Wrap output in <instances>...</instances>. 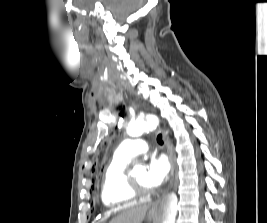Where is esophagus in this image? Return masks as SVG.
<instances>
[{"mask_svg":"<svg viewBox=\"0 0 267 223\" xmlns=\"http://www.w3.org/2000/svg\"><path fill=\"white\" fill-rule=\"evenodd\" d=\"M165 147L167 149V154L171 163V178L173 179L174 177V169H175V160H174V155H173V148L171 145V142L167 136V134L162 130L161 131ZM159 201H157L151 208V212H156L158 208Z\"/></svg>","mask_w":267,"mask_h":223,"instance_id":"1","label":"esophagus"}]
</instances>
